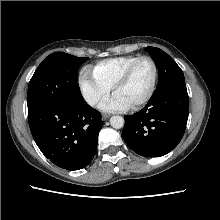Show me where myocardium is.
Masks as SVG:
<instances>
[{
    "label": "myocardium",
    "mask_w": 220,
    "mask_h": 220,
    "mask_svg": "<svg viewBox=\"0 0 220 220\" xmlns=\"http://www.w3.org/2000/svg\"><path fill=\"white\" fill-rule=\"evenodd\" d=\"M143 60H148L152 64L153 71H154L153 80H152V84H151L150 90L147 93V95L142 100L137 102L136 104L130 106L132 109H138V108L144 106L145 104H147L152 99V97H153V95L156 91V87H157V83H158V76H159V70H158V66H157L156 61L150 56H140V57H138L135 61H133L126 68V70L123 72V74L117 79V81L113 85V91L115 93L116 90L119 87L124 85L129 80V78L132 75V72L134 71L135 67L138 65V63H140Z\"/></svg>",
    "instance_id": "myocardium-1"
}]
</instances>
